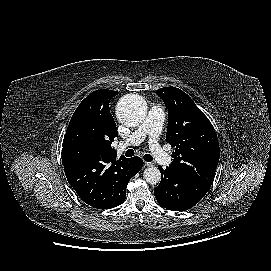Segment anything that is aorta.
Here are the masks:
<instances>
[{
  "label": "aorta",
  "mask_w": 271,
  "mask_h": 271,
  "mask_svg": "<svg viewBox=\"0 0 271 271\" xmlns=\"http://www.w3.org/2000/svg\"><path fill=\"white\" fill-rule=\"evenodd\" d=\"M116 113L121 123L136 127L144 121L147 107L140 96L126 95L118 103ZM143 177L147 183L155 185L161 180V173L157 167L151 166L144 170Z\"/></svg>",
  "instance_id": "aorta-1"
}]
</instances>
